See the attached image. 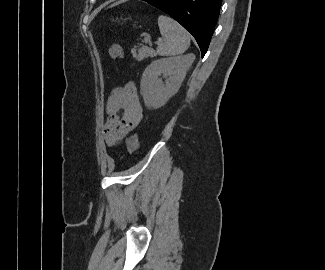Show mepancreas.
Segmentation results:
<instances>
[{"instance_id": "pancreas-1", "label": "pancreas", "mask_w": 325, "mask_h": 270, "mask_svg": "<svg viewBox=\"0 0 325 270\" xmlns=\"http://www.w3.org/2000/svg\"><path fill=\"white\" fill-rule=\"evenodd\" d=\"M131 52H132L133 58L136 59L137 61H142L145 58H148V57L152 58V57L156 56L155 51L152 48L147 47V46H142L138 49L134 48V49H132Z\"/></svg>"}]
</instances>
